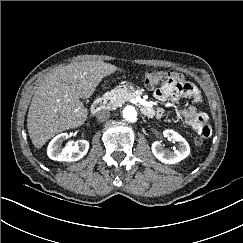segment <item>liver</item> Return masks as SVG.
I'll list each match as a JSON object with an SVG mask.
<instances>
[{"label":"liver","instance_id":"liver-1","mask_svg":"<svg viewBox=\"0 0 243 243\" xmlns=\"http://www.w3.org/2000/svg\"><path fill=\"white\" fill-rule=\"evenodd\" d=\"M118 68L103 61L73 62L48 73L32 98L27 128L41 148L55 134L82 125L88 116L80 98H89L101 80Z\"/></svg>","mask_w":243,"mask_h":243}]
</instances>
